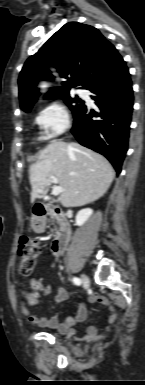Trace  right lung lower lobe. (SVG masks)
Returning <instances> with one entry per match:
<instances>
[{"label": "right lung lower lobe", "instance_id": "98d812e1", "mask_svg": "<svg viewBox=\"0 0 145 385\" xmlns=\"http://www.w3.org/2000/svg\"><path fill=\"white\" fill-rule=\"evenodd\" d=\"M89 90L100 112L84 104L74 115L71 131L81 145L107 157L119 174L128 149L134 100L128 68Z\"/></svg>", "mask_w": 145, "mask_h": 385}]
</instances>
